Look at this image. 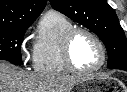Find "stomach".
Returning a JSON list of instances; mask_svg holds the SVG:
<instances>
[{"label": "stomach", "mask_w": 127, "mask_h": 92, "mask_svg": "<svg viewBox=\"0 0 127 92\" xmlns=\"http://www.w3.org/2000/svg\"><path fill=\"white\" fill-rule=\"evenodd\" d=\"M106 80L101 79L99 76L93 75L84 78L77 86L78 92H101Z\"/></svg>", "instance_id": "obj_1"}]
</instances>
